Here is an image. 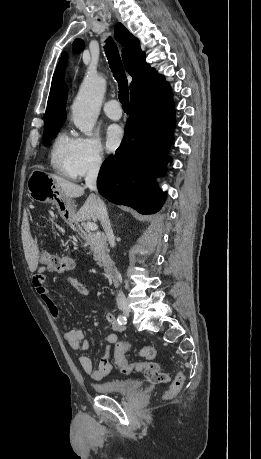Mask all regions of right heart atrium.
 <instances>
[{
  "label": "right heart atrium",
  "mask_w": 261,
  "mask_h": 459,
  "mask_svg": "<svg viewBox=\"0 0 261 459\" xmlns=\"http://www.w3.org/2000/svg\"><path fill=\"white\" fill-rule=\"evenodd\" d=\"M104 162V153L98 139L80 136L75 138L72 170L75 177L96 172Z\"/></svg>",
  "instance_id": "1"
}]
</instances>
